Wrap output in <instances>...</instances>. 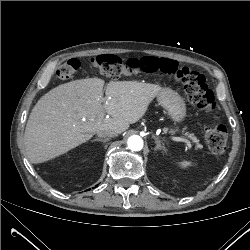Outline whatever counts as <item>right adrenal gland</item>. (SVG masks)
I'll use <instances>...</instances> for the list:
<instances>
[{"label":"right adrenal gland","mask_w":250,"mask_h":250,"mask_svg":"<svg viewBox=\"0 0 250 250\" xmlns=\"http://www.w3.org/2000/svg\"><path fill=\"white\" fill-rule=\"evenodd\" d=\"M95 141H100V142L106 143V142L109 141V138H106V139L96 138V139H93V140H92V142H95Z\"/></svg>","instance_id":"1"}]
</instances>
